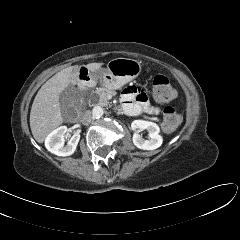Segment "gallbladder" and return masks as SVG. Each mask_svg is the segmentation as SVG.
<instances>
[{
    "label": "gallbladder",
    "mask_w": 240,
    "mask_h": 240,
    "mask_svg": "<svg viewBox=\"0 0 240 240\" xmlns=\"http://www.w3.org/2000/svg\"><path fill=\"white\" fill-rule=\"evenodd\" d=\"M78 97H79L78 90L74 86L69 85L65 89V91H63L59 95V101H60L62 111L66 112L69 109L73 108Z\"/></svg>",
    "instance_id": "1"
}]
</instances>
